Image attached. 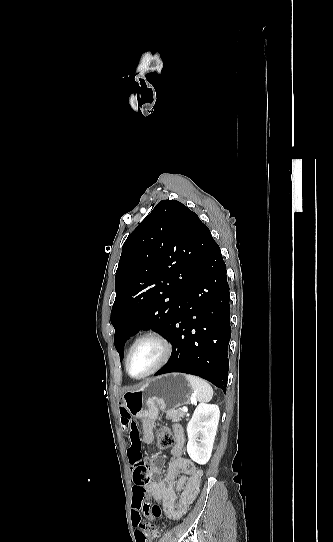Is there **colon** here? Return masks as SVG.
<instances>
[{
	"instance_id": "obj_1",
	"label": "colon",
	"mask_w": 333,
	"mask_h": 542,
	"mask_svg": "<svg viewBox=\"0 0 333 542\" xmlns=\"http://www.w3.org/2000/svg\"><path fill=\"white\" fill-rule=\"evenodd\" d=\"M157 446L160 449H167L172 447L176 441V435L167 426H160L156 429ZM128 465L130 469H133V476L137 483L133 484L132 490L134 493L133 502L134 507L131 513L130 521L134 525L140 526L138 532V539L141 538V533L146 538H152L158 531V527L155 523V519L161 516V508L156 503L146 502V494L149 487L147 482L152 478L148 472L146 464L142 458H130ZM157 469V466L155 465ZM142 542H146V539H140Z\"/></svg>"
}]
</instances>
